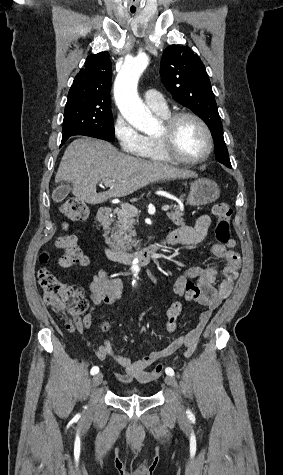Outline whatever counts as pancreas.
Listing matches in <instances>:
<instances>
[{
    "label": "pancreas",
    "mask_w": 283,
    "mask_h": 475,
    "mask_svg": "<svg viewBox=\"0 0 283 475\" xmlns=\"http://www.w3.org/2000/svg\"><path fill=\"white\" fill-rule=\"evenodd\" d=\"M131 208H134V206H127L120 214H117L118 222H113V228H110L109 232L104 234L109 247H112L114 251H119V253H127L132 249V245L136 247L139 243L137 239H134L136 232L133 230L136 224L134 218L137 214H134ZM171 208H173L172 212L166 214L169 220L176 226H185L179 206H171ZM108 234H111V236H108Z\"/></svg>",
    "instance_id": "1"
}]
</instances>
